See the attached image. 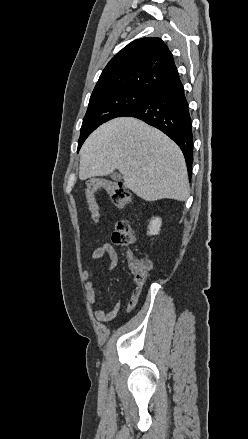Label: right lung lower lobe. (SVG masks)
<instances>
[{
    "mask_svg": "<svg viewBox=\"0 0 248 439\" xmlns=\"http://www.w3.org/2000/svg\"><path fill=\"white\" fill-rule=\"evenodd\" d=\"M135 117L158 128L181 148L191 176L193 134L188 103L179 77L149 94L120 117ZM191 179V178H190Z\"/></svg>",
    "mask_w": 248,
    "mask_h": 439,
    "instance_id": "1",
    "label": "right lung lower lobe"
}]
</instances>
